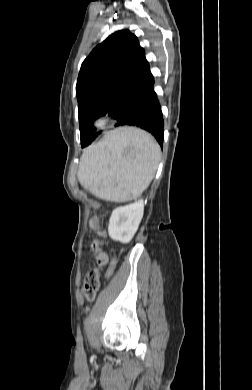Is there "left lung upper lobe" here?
<instances>
[{
    "mask_svg": "<svg viewBox=\"0 0 252 390\" xmlns=\"http://www.w3.org/2000/svg\"><path fill=\"white\" fill-rule=\"evenodd\" d=\"M151 75L144 49L129 30L97 45L82 63L76 85L81 135L101 115L114 118Z\"/></svg>",
    "mask_w": 252,
    "mask_h": 390,
    "instance_id": "left-lung-upper-lobe-1",
    "label": "left lung upper lobe"
}]
</instances>
